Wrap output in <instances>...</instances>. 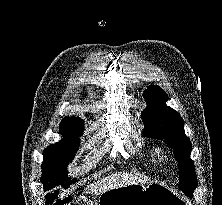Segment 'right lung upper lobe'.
I'll use <instances>...</instances> for the list:
<instances>
[{"mask_svg": "<svg viewBox=\"0 0 222 205\" xmlns=\"http://www.w3.org/2000/svg\"><path fill=\"white\" fill-rule=\"evenodd\" d=\"M76 124H83V120L78 117H65L60 125H76Z\"/></svg>", "mask_w": 222, "mask_h": 205, "instance_id": "right-lung-upper-lobe-1", "label": "right lung upper lobe"}]
</instances>
